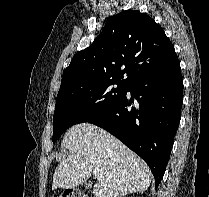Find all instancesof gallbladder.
Wrapping results in <instances>:
<instances>
[{"mask_svg":"<svg viewBox=\"0 0 209 197\" xmlns=\"http://www.w3.org/2000/svg\"><path fill=\"white\" fill-rule=\"evenodd\" d=\"M89 187H90V185H89V184H87V185H86V188L88 189Z\"/></svg>","mask_w":209,"mask_h":197,"instance_id":"bac80fb5","label":"gallbladder"}]
</instances>
